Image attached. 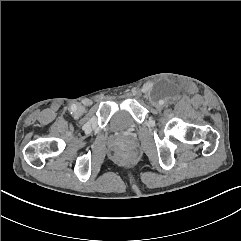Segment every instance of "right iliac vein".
Segmentation results:
<instances>
[{"label":"right iliac vein","instance_id":"right-iliac-vein-1","mask_svg":"<svg viewBox=\"0 0 241 241\" xmlns=\"http://www.w3.org/2000/svg\"><path fill=\"white\" fill-rule=\"evenodd\" d=\"M84 111H85V108L83 106H80L77 112L78 114H82Z\"/></svg>","mask_w":241,"mask_h":241}]
</instances>
